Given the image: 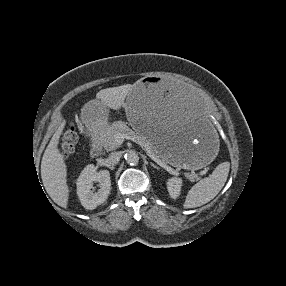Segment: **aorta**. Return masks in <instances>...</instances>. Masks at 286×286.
I'll use <instances>...</instances> for the list:
<instances>
[{"label":"aorta","mask_w":286,"mask_h":286,"mask_svg":"<svg viewBox=\"0 0 286 286\" xmlns=\"http://www.w3.org/2000/svg\"><path fill=\"white\" fill-rule=\"evenodd\" d=\"M125 160L130 165H136L139 162V156L135 151H129L125 155Z\"/></svg>","instance_id":"obj_1"}]
</instances>
